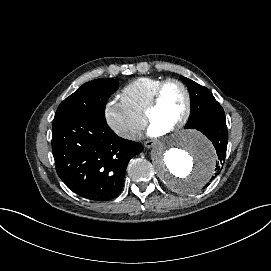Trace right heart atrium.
I'll return each mask as SVG.
<instances>
[{
	"label": "right heart atrium",
	"mask_w": 271,
	"mask_h": 271,
	"mask_svg": "<svg viewBox=\"0 0 271 271\" xmlns=\"http://www.w3.org/2000/svg\"><path fill=\"white\" fill-rule=\"evenodd\" d=\"M106 124L120 137L134 141L146 126L145 116L133 112L118 96L108 98L103 105Z\"/></svg>",
	"instance_id": "1"
}]
</instances>
